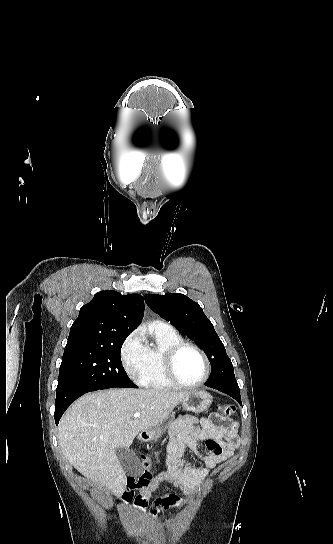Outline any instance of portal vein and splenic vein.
<instances>
[{
	"label": "portal vein and splenic vein",
	"mask_w": 333,
	"mask_h": 544,
	"mask_svg": "<svg viewBox=\"0 0 333 544\" xmlns=\"http://www.w3.org/2000/svg\"><path fill=\"white\" fill-rule=\"evenodd\" d=\"M140 415H141V414H140L139 412H136V413L133 414V417H134V418H138V417H140Z\"/></svg>",
	"instance_id": "portal-vein-and-splenic-vein-1"
}]
</instances>
